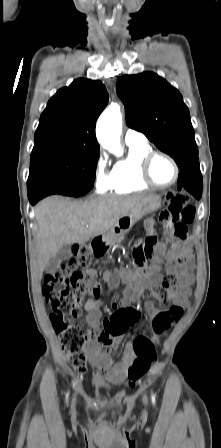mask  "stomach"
Segmentation results:
<instances>
[{
  "label": "stomach",
  "instance_id": "0dacf381",
  "mask_svg": "<svg viewBox=\"0 0 221 448\" xmlns=\"http://www.w3.org/2000/svg\"><path fill=\"white\" fill-rule=\"evenodd\" d=\"M161 206V197L154 195L147 202L130 212L128 215L122 217L117 222L116 226L111 228L103 237L109 243L114 244L119 238H122L126 232L142 217L157 210Z\"/></svg>",
  "mask_w": 221,
  "mask_h": 448
}]
</instances>
